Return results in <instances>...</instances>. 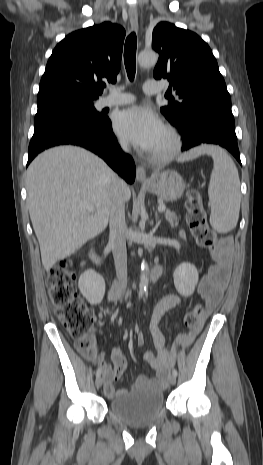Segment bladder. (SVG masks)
<instances>
[{
	"mask_svg": "<svg viewBox=\"0 0 263 465\" xmlns=\"http://www.w3.org/2000/svg\"><path fill=\"white\" fill-rule=\"evenodd\" d=\"M164 409V395L152 387L125 391L109 403V411L126 425L142 428L151 425Z\"/></svg>",
	"mask_w": 263,
	"mask_h": 465,
	"instance_id": "1",
	"label": "bladder"
}]
</instances>
